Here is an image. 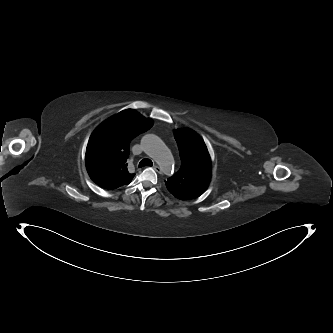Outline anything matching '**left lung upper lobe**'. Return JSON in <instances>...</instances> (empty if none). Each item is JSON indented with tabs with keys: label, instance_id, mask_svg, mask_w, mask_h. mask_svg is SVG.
<instances>
[{
	"label": "left lung upper lobe",
	"instance_id": "left-lung-upper-lobe-1",
	"mask_svg": "<svg viewBox=\"0 0 333 333\" xmlns=\"http://www.w3.org/2000/svg\"><path fill=\"white\" fill-rule=\"evenodd\" d=\"M181 167L165 181L167 190L180 200H191L202 195L211 178V159L201 137L189 129H177Z\"/></svg>",
	"mask_w": 333,
	"mask_h": 333
}]
</instances>
